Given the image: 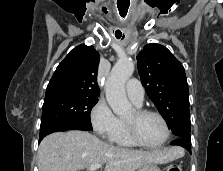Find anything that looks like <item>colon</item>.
Here are the masks:
<instances>
[{"mask_svg": "<svg viewBox=\"0 0 223 171\" xmlns=\"http://www.w3.org/2000/svg\"><path fill=\"white\" fill-rule=\"evenodd\" d=\"M166 171H182V169L180 168V166L170 165V166H168V168L166 169Z\"/></svg>", "mask_w": 223, "mask_h": 171, "instance_id": "5ec220e1", "label": "colon"}]
</instances>
